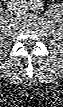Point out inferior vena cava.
<instances>
[{
    "mask_svg": "<svg viewBox=\"0 0 63 107\" xmlns=\"http://www.w3.org/2000/svg\"><path fill=\"white\" fill-rule=\"evenodd\" d=\"M11 10H13L16 14H22L25 13L27 8L20 2H16L13 4Z\"/></svg>",
    "mask_w": 63,
    "mask_h": 107,
    "instance_id": "inferior-vena-cava-1",
    "label": "inferior vena cava"
}]
</instances>
